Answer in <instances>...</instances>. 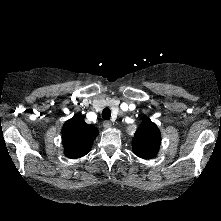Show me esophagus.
<instances>
[{
  "label": "esophagus",
  "mask_w": 221,
  "mask_h": 221,
  "mask_svg": "<svg viewBox=\"0 0 221 221\" xmlns=\"http://www.w3.org/2000/svg\"><path fill=\"white\" fill-rule=\"evenodd\" d=\"M103 126H104V128L108 129V128H111L112 123L110 121H104Z\"/></svg>",
  "instance_id": "1"
}]
</instances>
